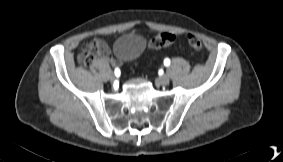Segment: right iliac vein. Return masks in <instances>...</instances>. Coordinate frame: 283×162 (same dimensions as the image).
I'll return each instance as SVG.
<instances>
[{"mask_svg":"<svg viewBox=\"0 0 283 162\" xmlns=\"http://www.w3.org/2000/svg\"><path fill=\"white\" fill-rule=\"evenodd\" d=\"M114 79H115V76H114V74L112 73V74L110 75V81H114Z\"/></svg>","mask_w":283,"mask_h":162,"instance_id":"63e3f726","label":"right iliac vein"}]
</instances>
